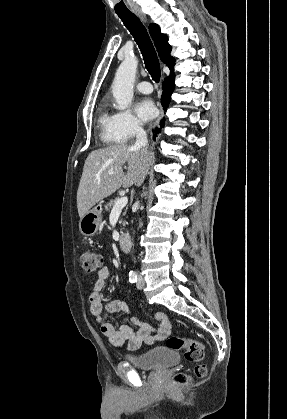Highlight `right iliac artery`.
<instances>
[{"label":"right iliac artery","mask_w":287,"mask_h":419,"mask_svg":"<svg viewBox=\"0 0 287 419\" xmlns=\"http://www.w3.org/2000/svg\"><path fill=\"white\" fill-rule=\"evenodd\" d=\"M137 279H138L137 273H136V272H134V271H131V272L129 273V281H130L131 283H135V282H137Z\"/></svg>","instance_id":"82829eb1"}]
</instances>
